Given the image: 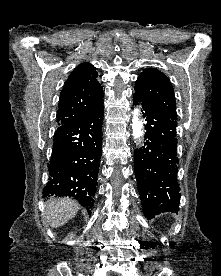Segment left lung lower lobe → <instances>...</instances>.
I'll use <instances>...</instances> for the list:
<instances>
[{"mask_svg":"<svg viewBox=\"0 0 221 276\" xmlns=\"http://www.w3.org/2000/svg\"><path fill=\"white\" fill-rule=\"evenodd\" d=\"M146 124L143 146L135 150L134 170L143 213L151 219L161 212H178L177 122L146 108L137 97Z\"/></svg>","mask_w":221,"mask_h":276,"instance_id":"1","label":"left lung lower lobe"}]
</instances>
